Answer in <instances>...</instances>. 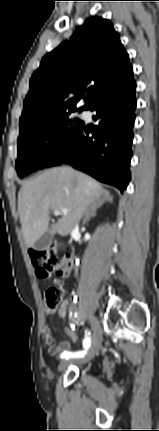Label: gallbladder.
<instances>
[{"instance_id":"1","label":"gallbladder","mask_w":159,"mask_h":431,"mask_svg":"<svg viewBox=\"0 0 159 431\" xmlns=\"http://www.w3.org/2000/svg\"><path fill=\"white\" fill-rule=\"evenodd\" d=\"M53 239V234L51 233L50 229H48L34 244L33 248L35 250L41 251L47 248Z\"/></svg>"}]
</instances>
